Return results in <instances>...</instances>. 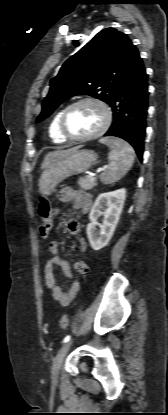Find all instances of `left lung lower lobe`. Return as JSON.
<instances>
[{"label": "left lung lower lobe", "instance_id": "1", "mask_svg": "<svg viewBox=\"0 0 168 415\" xmlns=\"http://www.w3.org/2000/svg\"><path fill=\"white\" fill-rule=\"evenodd\" d=\"M147 74L139 57L109 104L113 123L104 136H116L129 142L142 160L148 110Z\"/></svg>", "mask_w": 168, "mask_h": 415}]
</instances>
